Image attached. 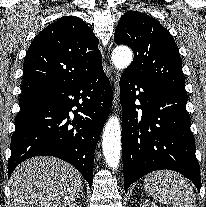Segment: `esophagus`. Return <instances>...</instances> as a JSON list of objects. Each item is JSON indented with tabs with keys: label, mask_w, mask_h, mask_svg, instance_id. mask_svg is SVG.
Segmentation results:
<instances>
[{
	"label": "esophagus",
	"mask_w": 206,
	"mask_h": 207,
	"mask_svg": "<svg viewBox=\"0 0 206 207\" xmlns=\"http://www.w3.org/2000/svg\"><path fill=\"white\" fill-rule=\"evenodd\" d=\"M118 73H115L114 78V100H113V109L117 110L118 100H119V89H118Z\"/></svg>",
	"instance_id": "34e87169"
}]
</instances>
